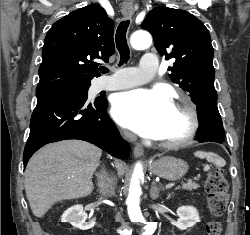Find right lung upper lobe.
Returning <instances> with one entry per match:
<instances>
[{
    "instance_id": "cb5924a9",
    "label": "right lung upper lobe",
    "mask_w": 250,
    "mask_h": 235,
    "mask_svg": "<svg viewBox=\"0 0 250 235\" xmlns=\"http://www.w3.org/2000/svg\"><path fill=\"white\" fill-rule=\"evenodd\" d=\"M114 22L97 4L75 10L48 31L39 68L36 95L90 86L99 63L114 53Z\"/></svg>"
}]
</instances>
